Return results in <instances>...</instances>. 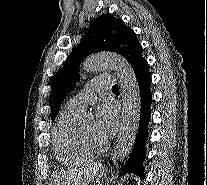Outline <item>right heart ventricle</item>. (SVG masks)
<instances>
[{
    "label": "right heart ventricle",
    "instance_id": "obj_1",
    "mask_svg": "<svg viewBox=\"0 0 207 185\" xmlns=\"http://www.w3.org/2000/svg\"><path fill=\"white\" fill-rule=\"evenodd\" d=\"M79 113L65 109L59 116L53 131V145L58 159L68 165H79L94 159L79 138L77 117Z\"/></svg>",
    "mask_w": 207,
    "mask_h": 185
}]
</instances>
